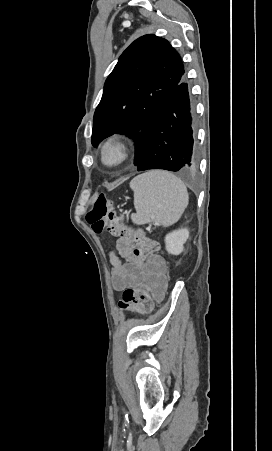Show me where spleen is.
Wrapping results in <instances>:
<instances>
[{"mask_svg":"<svg viewBox=\"0 0 272 451\" xmlns=\"http://www.w3.org/2000/svg\"><path fill=\"white\" fill-rule=\"evenodd\" d=\"M134 192L136 214H131L133 224L172 226L181 218L188 206L187 188L180 178L163 170L139 174L130 182Z\"/></svg>","mask_w":272,"mask_h":451,"instance_id":"spleen-1","label":"spleen"}]
</instances>
